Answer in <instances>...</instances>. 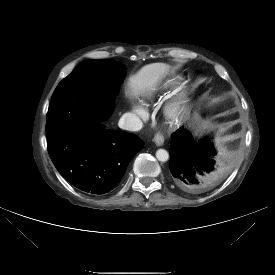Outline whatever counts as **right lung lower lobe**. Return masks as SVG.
<instances>
[{
    "mask_svg": "<svg viewBox=\"0 0 275 275\" xmlns=\"http://www.w3.org/2000/svg\"><path fill=\"white\" fill-rule=\"evenodd\" d=\"M124 75L111 83L108 94L119 92ZM47 146L53 164L69 183L100 195L118 185L143 143L134 134L106 129L102 121L83 120L48 133Z\"/></svg>",
    "mask_w": 275,
    "mask_h": 275,
    "instance_id": "right-lung-lower-lobe-1",
    "label": "right lung lower lobe"
}]
</instances>
